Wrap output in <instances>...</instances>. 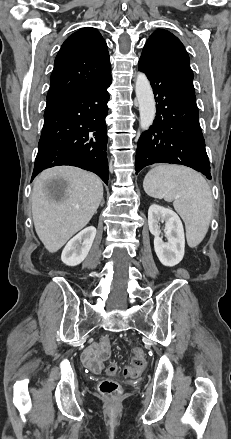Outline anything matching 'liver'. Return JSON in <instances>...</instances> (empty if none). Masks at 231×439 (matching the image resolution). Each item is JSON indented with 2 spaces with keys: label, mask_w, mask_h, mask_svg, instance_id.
<instances>
[{
  "label": "liver",
  "mask_w": 231,
  "mask_h": 439,
  "mask_svg": "<svg viewBox=\"0 0 231 439\" xmlns=\"http://www.w3.org/2000/svg\"><path fill=\"white\" fill-rule=\"evenodd\" d=\"M55 178L65 182L61 194L49 186ZM102 199V181L93 173L69 166L42 171L34 180L31 203L35 230L45 248L57 252L89 223Z\"/></svg>",
  "instance_id": "liver-1"
}]
</instances>
